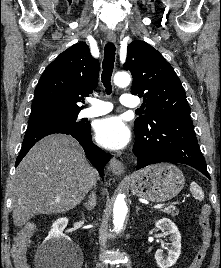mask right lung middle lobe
I'll list each match as a JSON object with an SVG mask.
<instances>
[{
  "mask_svg": "<svg viewBox=\"0 0 221 268\" xmlns=\"http://www.w3.org/2000/svg\"><path fill=\"white\" fill-rule=\"evenodd\" d=\"M78 113L60 114L47 117H30L28 124L38 123V122H55L66 125L80 126L84 125L82 122L77 120Z\"/></svg>",
  "mask_w": 221,
  "mask_h": 268,
  "instance_id": "dd1d6c3e",
  "label": "right lung middle lobe"
}]
</instances>
